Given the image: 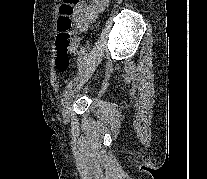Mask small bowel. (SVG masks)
<instances>
[{
	"mask_svg": "<svg viewBox=\"0 0 207 179\" xmlns=\"http://www.w3.org/2000/svg\"><path fill=\"white\" fill-rule=\"evenodd\" d=\"M109 0H82L77 6L74 14V21L76 27L75 41L71 47V52H76L79 46L80 33L85 32L90 23H92L98 14L103 12L108 5Z\"/></svg>",
	"mask_w": 207,
	"mask_h": 179,
	"instance_id": "obj_1",
	"label": "small bowel"
}]
</instances>
